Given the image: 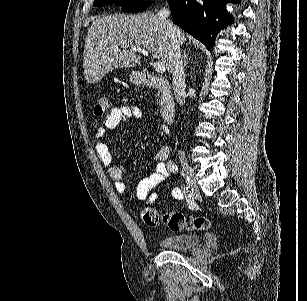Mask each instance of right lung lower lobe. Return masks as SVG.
<instances>
[{"label":"right lung lower lobe","mask_w":307,"mask_h":301,"mask_svg":"<svg viewBox=\"0 0 307 301\" xmlns=\"http://www.w3.org/2000/svg\"><path fill=\"white\" fill-rule=\"evenodd\" d=\"M229 0H168L173 22L211 48L217 33L233 22ZM237 3L239 0H231Z\"/></svg>","instance_id":"obj_1"}]
</instances>
